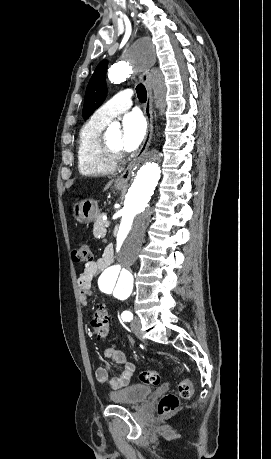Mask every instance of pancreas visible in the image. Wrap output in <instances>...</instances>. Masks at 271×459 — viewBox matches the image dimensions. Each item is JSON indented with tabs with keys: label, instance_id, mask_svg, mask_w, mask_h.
<instances>
[{
	"label": "pancreas",
	"instance_id": "obj_1",
	"mask_svg": "<svg viewBox=\"0 0 271 459\" xmlns=\"http://www.w3.org/2000/svg\"><path fill=\"white\" fill-rule=\"evenodd\" d=\"M102 216L100 218H97L95 224H94V229H95V237L97 239H102L104 237V232L103 229L105 226L106 221L101 220Z\"/></svg>",
	"mask_w": 271,
	"mask_h": 459
}]
</instances>
